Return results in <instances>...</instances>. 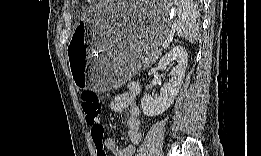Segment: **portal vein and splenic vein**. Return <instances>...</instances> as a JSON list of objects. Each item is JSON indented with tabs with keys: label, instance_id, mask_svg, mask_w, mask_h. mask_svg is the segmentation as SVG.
Wrapping results in <instances>:
<instances>
[{
	"label": "portal vein and splenic vein",
	"instance_id": "1",
	"mask_svg": "<svg viewBox=\"0 0 261 156\" xmlns=\"http://www.w3.org/2000/svg\"><path fill=\"white\" fill-rule=\"evenodd\" d=\"M171 33H172V31H171ZM168 44H169V41L166 39L165 41H164V43H163V47H166V46H168Z\"/></svg>",
	"mask_w": 261,
	"mask_h": 156
}]
</instances>
